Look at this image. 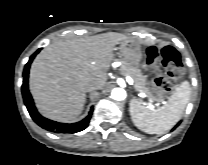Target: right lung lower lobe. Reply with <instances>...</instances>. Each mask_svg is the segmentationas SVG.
<instances>
[{
	"instance_id": "obj_1",
	"label": "right lung lower lobe",
	"mask_w": 208,
	"mask_h": 165,
	"mask_svg": "<svg viewBox=\"0 0 208 165\" xmlns=\"http://www.w3.org/2000/svg\"><path fill=\"white\" fill-rule=\"evenodd\" d=\"M41 49H38L29 59L28 63L25 65L24 71H23V84H22V95L24 99V103L27 107V110L32 117V119L42 128L51 130L55 133H76L79 131L84 130L90 121L91 114L93 110L89 112V115L83 119L80 122L73 123V124H62L55 121H51L49 119H46L42 117L33 102V99L31 97V94L28 90V76H29V68L30 64L33 61L34 57L37 53H39Z\"/></svg>"
}]
</instances>
